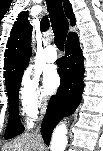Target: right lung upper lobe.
Segmentation results:
<instances>
[{"instance_id": "1", "label": "right lung upper lobe", "mask_w": 103, "mask_h": 151, "mask_svg": "<svg viewBox=\"0 0 103 151\" xmlns=\"http://www.w3.org/2000/svg\"><path fill=\"white\" fill-rule=\"evenodd\" d=\"M64 10L67 17L70 19V24H75L74 14L71 9V4L68 0H63ZM48 20L43 18L41 22V30L48 29ZM31 34L32 26L28 21V10L23 11L18 15L17 21L10 32V37L7 42V49L4 58V77L6 86L22 76L23 70L29 63L31 54ZM75 34L69 33L68 36Z\"/></svg>"}]
</instances>
